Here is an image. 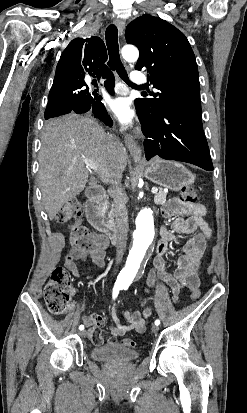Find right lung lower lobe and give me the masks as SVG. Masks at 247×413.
Masks as SVG:
<instances>
[{
    "label": "right lung lower lobe",
    "instance_id": "98d812e1",
    "mask_svg": "<svg viewBox=\"0 0 247 413\" xmlns=\"http://www.w3.org/2000/svg\"><path fill=\"white\" fill-rule=\"evenodd\" d=\"M114 80V76L111 75L108 76L105 81V87L111 94H114ZM75 82L82 84V87L77 93L63 98L49 99L45 111V119L64 115L71 111L77 114L91 112L95 118L100 119L108 126H112V120L103 103L100 101L102 97L89 92L84 78L77 79Z\"/></svg>",
    "mask_w": 247,
    "mask_h": 413
}]
</instances>
